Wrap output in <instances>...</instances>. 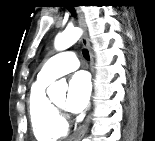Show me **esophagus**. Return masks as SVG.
<instances>
[{
  "label": "esophagus",
  "instance_id": "34e87169",
  "mask_svg": "<svg viewBox=\"0 0 155 141\" xmlns=\"http://www.w3.org/2000/svg\"><path fill=\"white\" fill-rule=\"evenodd\" d=\"M77 14H78L79 26L82 29L81 42H82L83 46L89 50L91 71L94 74V56H93V53L91 51L89 40H88L87 33H86V24H85L84 15L79 8H77ZM91 116L92 115L89 114L87 116V118L85 119L84 123L82 124V126L78 129V131L75 135V140H81L83 138L86 131L88 130V127H89V124L91 121Z\"/></svg>",
  "mask_w": 155,
  "mask_h": 141
}]
</instances>
